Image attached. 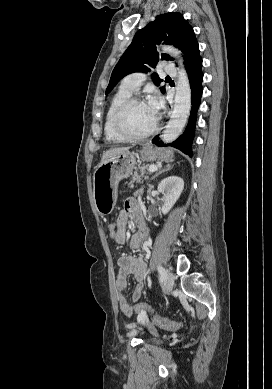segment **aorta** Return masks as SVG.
Segmentation results:
<instances>
[{"label": "aorta", "instance_id": "762f6f07", "mask_svg": "<svg viewBox=\"0 0 272 389\" xmlns=\"http://www.w3.org/2000/svg\"><path fill=\"white\" fill-rule=\"evenodd\" d=\"M163 51L175 58H180V51L171 46H164ZM178 81L176 83L175 105L163 135L164 143H171L181 133L184 128L191 109V89L187 73L182 64V59L179 60Z\"/></svg>", "mask_w": 272, "mask_h": 389}]
</instances>
